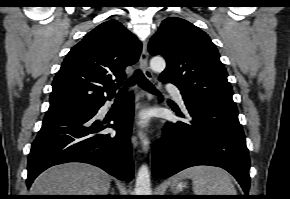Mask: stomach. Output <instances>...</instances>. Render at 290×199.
<instances>
[{"mask_svg": "<svg viewBox=\"0 0 290 199\" xmlns=\"http://www.w3.org/2000/svg\"><path fill=\"white\" fill-rule=\"evenodd\" d=\"M174 185L177 190H181L183 187H185L186 183L184 181V177H182V175L177 176Z\"/></svg>", "mask_w": 290, "mask_h": 199, "instance_id": "1", "label": "stomach"}]
</instances>
